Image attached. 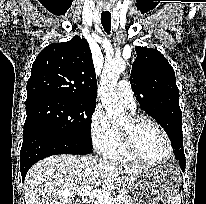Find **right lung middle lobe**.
I'll use <instances>...</instances> for the list:
<instances>
[{
  "mask_svg": "<svg viewBox=\"0 0 206 204\" xmlns=\"http://www.w3.org/2000/svg\"><path fill=\"white\" fill-rule=\"evenodd\" d=\"M25 104L23 138L38 131L50 132L92 149L90 122L96 102L43 96Z\"/></svg>",
  "mask_w": 206,
  "mask_h": 204,
  "instance_id": "1",
  "label": "right lung middle lobe"
}]
</instances>
